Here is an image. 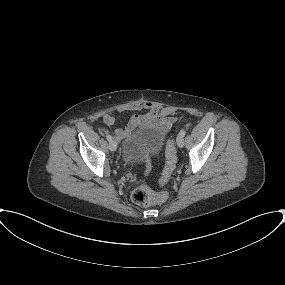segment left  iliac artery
Instances as JSON below:
<instances>
[{"label":"left iliac artery","instance_id":"1","mask_svg":"<svg viewBox=\"0 0 285 285\" xmlns=\"http://www.w3.org/2000/svg\"><path fill=\"white\" fill-rule=\"evenodd\" d=\"M179 134L184 137L186 132H185V130H181Z\"/></svg>","mask_w":285,"mask_h":285}]
</instances>
